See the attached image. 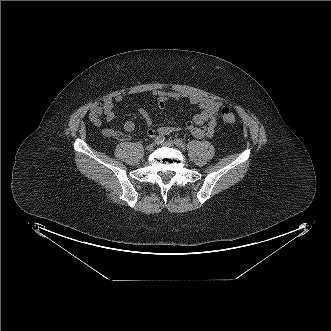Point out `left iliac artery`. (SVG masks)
I'll list each match as a JSON object with an SVG mask.
<instances>
[{"label":"left iliac artery","mask_w":331,"mask_h":331,"mask_svg":"<svg viewBox=\"0 0 331 331\" xmlns=\"http://www.w3.org/2000/svg\"><path fill=\"white\" fill-rule=\"evenodd\" d=\"M174 142H175V144H176L177 146H179V147H184V142H183L181 139L176 138V139L174 140Z\"/></svg>","instance_id":"obj_1"}]
</instances>
